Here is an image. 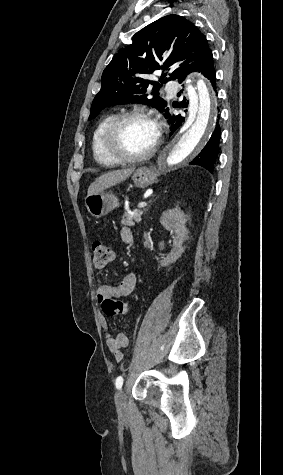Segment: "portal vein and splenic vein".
Here are the masks:
<instances>
[{
	"instance_id": "obj_1",
	"label": "portal vein and splenic vein",
	"mask_w": 283,
	"mask_h": 475,
	"mask_svg": "<svg viewBox=\"0 0 283 475\" xmlns=\"http://www.w3.org/2000/svg\"><path fill=\"white\" fill-rule=\"evenodd\" d=\"M145 206H147L146 202H140V204H138V208H145Z\"/></svg>"
}]
</instances>
